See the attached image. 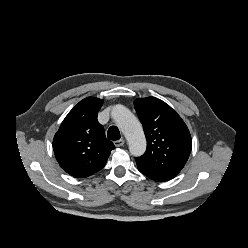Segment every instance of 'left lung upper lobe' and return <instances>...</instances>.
I'll use <instances>...</instances> for the list:
<instances>
[{"label":"left lung upper lobe","instance_id":"1","mask_svg":"<svg viewBox=\"0 0 248 248\" xmlns=\"http://www.w3.org/2000/svg\"><path fill=\"white\" fill-rule=\"evenodd\" d=\"M134 104L147 139L146 152L135 160L152 169L178 175L192 148L186 124L158 98H138Z\"/></svg>","mask_w":248,"mask_h":248}]
</instances>
